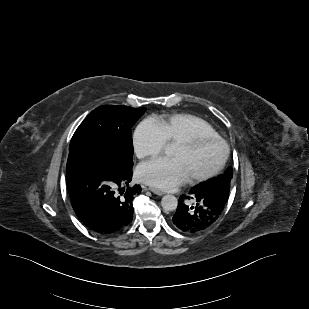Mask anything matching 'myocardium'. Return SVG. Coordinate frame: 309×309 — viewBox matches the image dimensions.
Here are the masks:
<instances>
[{
    "instance_id": "obj_1",
    "label": "myocardium",
    "mask_w": 309,
    "mask_h": 309,
    "mask_svg": "<svg viewBox=\"0 0 309 309\" xmlns=\"http://www.w3.org/2000/svg\"><path fill=\"white\" fill-rule=\"evenodd\" d=\"M206 142H217L221 146L222 152H221L220 159L218 163L216 164V166L209 172L200 174V175L191 176L189 178L191 182H195V183L204 182L218 175L223 169V167L225 166L226 161L228 159L229 145L226 142V140L222 138L221 136L215 135V134H207V133H195L188 137L182 138L176 142V144H179V145H182L188 148H195Z\"/></svg>"
}]
</instances>
